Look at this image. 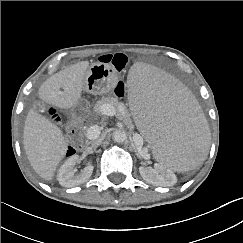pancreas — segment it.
Masks as SVG:
<instances>
[{"instance_id": "obj_1", "label": "pancreas", "mask_w": 243, "mask_h": 243, "mask_svg": "<svg viewBox=\"0 0 243 243\" xmlns=\"http://www.w3.org/2000/svg\"><path fill=\"white\" fill-rule=\"evenodd\" d=\"M109 104L112 106L116 111V117L119 120H122L126 124L131 125L130 114L125 108L123 103L118 102L116 98L113 97H103L101 100L97 101L94 105V111L98 114L103 113V106Z\"/></svg>"}]
</instances>
